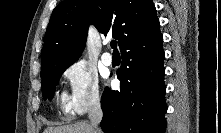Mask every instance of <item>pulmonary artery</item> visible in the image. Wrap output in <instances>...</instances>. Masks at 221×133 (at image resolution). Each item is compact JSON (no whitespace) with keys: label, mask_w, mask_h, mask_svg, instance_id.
<instances>
[{"label":"pulmonary artery","mask_w":221,"mask_h":133,"mask_svg":"<svg viewBox=\"0 0 221 133\" xmlns=\"http://www.w3.org/2000/svg\"><path fill=\"white\" fill-rule=\"evenodd\" d=\"M105 44H107V42H105ZM102 62L107 65L110 66L113 63V57L109 52H104L101 56Z\"/></svg>","instance_id":"1"}]
</instances>
